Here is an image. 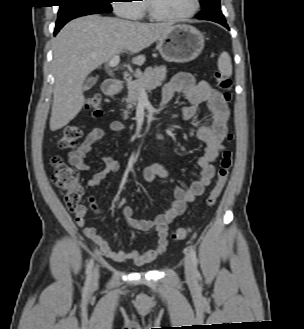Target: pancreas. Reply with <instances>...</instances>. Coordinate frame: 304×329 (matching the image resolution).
I'll use <instances>...</instances> for the list:
<instances>
[{
    "instance_id": "obj_1",
    "label": "pancreas",
    "mask_w": 304,
    "mask_h": 329,
    "mask_svg": "<svg viewBox=\"0 0 304 329\" xmlns=\"http://www.w3.org/2000/svg\"><path fill=\"white\" fill-rule=\"evenodd\" d=\"M166 67L147 68L143 73H138L137 78L133 81L127 82L128 94L125 98L127 108H133L137 105L141 97L142 90H151L160 86L166 79ZM124 118H127L128 111H124Z\"/></svg>"
}]
</instances>
